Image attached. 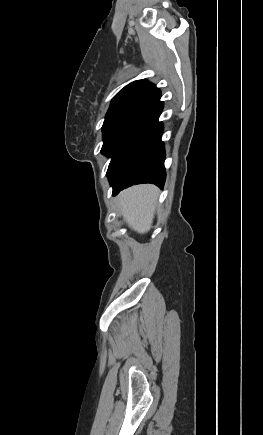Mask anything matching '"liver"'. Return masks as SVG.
<instances>
[{
    "mask_svg": "<svg viewBox=\"0 0 263 435\" xmlns=\"http://www.w3.org/2000/svg\"><path fill=\"white\" fill-rule=\"evenodd\" d=\"M158 189L153 185H138L122 191L118 209L134 231L144 234L152 227Z\"/></svg>",
    "mask_w": 263,
    "mask_h": 435,
    "instance_id": "obj_1",
    "label": "liver"
}]
</instances>
